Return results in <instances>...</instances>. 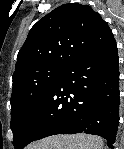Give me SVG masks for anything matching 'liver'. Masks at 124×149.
<instances>
[{
  "label": "liver",
  "mask_w": 124,
  "mask_h": 149,
  "mask_svg": "<svg viewBox=\"0 0 124 149\" xmlns=\"http://www.w3.org/2000/svg\"><path fill=\"white\" fill-rule=\"evenodd\" d=\"M103 141L99 137L78 134L73 136H53L46 138L27 149H102Z\"/></svg>",
  "instance_id": "obj_1"
}]
</instances>
